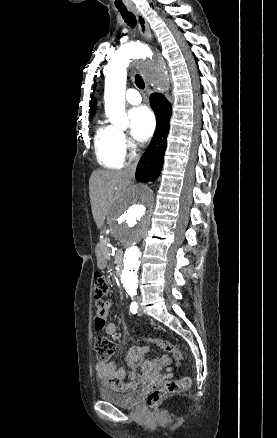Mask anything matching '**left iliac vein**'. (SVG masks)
<instances>
[{"label":"left iliac vein","instance_id":"left-iliac-vein-1","mask_svg":"<svg viewBox=\"0 0 277 438\" xmlns=\"http://www.w3.org/2000/svg\"><path fill=\"white\" fill-rule=\"evenodd\" d=\"M138 315H140V316L143 315V311H142L141 307H139Z\"/></svg>","mask_w":277,"mask_h":438}]
</instances>
